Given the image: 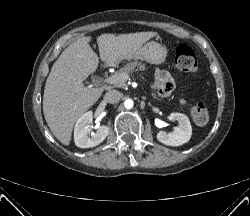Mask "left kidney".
<instances>
[{"instance_id": "obj_1", "label": "left kidney", "mask_w": 250, "mask_h": 216, "mask_svg": "<svg viewBox=\"0 0 250 216\" xmlns=\"http://www.w3.org/2000/svg\"><path fill=\"white\" fill-rule=\"evenodd\" d=\"M169 119L176 120L178 126L174 127L170 133L160 131L157 134L158 141L168 146H180L187 143L192 135V127L188 117L182 113H171Z\"/></svg>"}]
</instances>
